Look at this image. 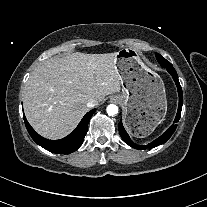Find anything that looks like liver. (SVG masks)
<instances>
[{
  "mask_svg": "<svg viewBox=\"0 0 207 207\" xmlns=\"http://www.w3.org/2000/svg\"><path fill=\"white\" fill-rule=\"evenodd\" d=\"M116 54L72 53L41 63L23 94L25 116L34 130L56 140L68 135L88 111L90 99L103 101L119 92Z\"/></svg>",
  "mask_w": 207,
  "mask_h": 207,
  "instance_id": "6515ba94",
  "label": "liver"
}]
</instances>
